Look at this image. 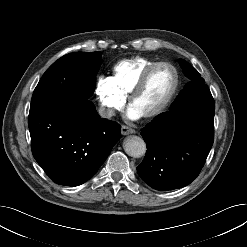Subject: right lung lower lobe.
<instances>
[{"instance_id": "98d812e1", "label": "right lung lower lobe", "mask_w": 247, "mask_h": 247, "mask_svg": "<svg viewBox=\"0 0 247 247\" xmlns=\"http://www.w3.org/2000/svg\"><path fill=\"white\" fill-rule=\"evenodd\" d=\"M28 122L34 158L52 181L65 186L89 180L121 135V126L102 119L89 100H49L30 110Z\"/></svg>"}]
</instances>
